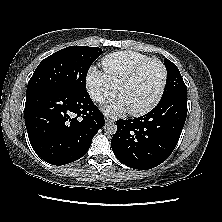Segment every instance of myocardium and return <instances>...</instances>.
I'll return each instance as SVG.
<instances>
[{"instance_id":"obj_1","label":"myocardium","mask_w":222,"mask_h":222,"mask_svg":"<svg viewBox=\"0 0 222 222\" xmlns=\"http://www.w3.org/2000/svg\"><path fill=\"white\" fill-rule=\"evenodd\" d=\"M150 62H157L162 69V83L160 86V89L157 93V95L154 97V99L152 101H150L148 104H146L145 106L141 107V108H137V109H129V113L132 115H143L146 114L147 112L151 111L161 100L165 88H166V84H167V78H168V73H167V68L165 66V64L158 58H148L144 61H142L141 63H139L131 72L130 74L119 84L118 86V93L120 94L121 91L123 90V88H125L127 85H129L130 83H132L136 77L138 76V74L140 73V71Z\"/></svg>"}]
</instances>
